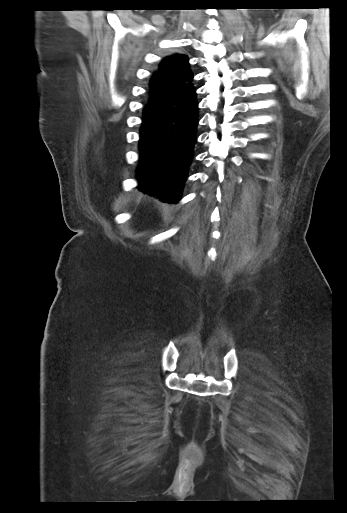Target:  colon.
I'll list each match as a JSON object with an SVG mask.
<instances>
[{
    "label": "colon",
    "mask_w": 347,
    "mask_h": 513,
    "mask_svg": "<svg viewBox=\"0 0 347 513\" xmlns=\"http://www.w3.org/2000/svg\"><path fill=\"white\" fill-rule=\"evenodd\" d=\"M188 455L192 458H199L200 457V452L197 448L195 447H192L189 449L188 451Z\"/></svg>",
    "instance_id": "obj_1"
}]
</instances>
